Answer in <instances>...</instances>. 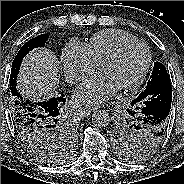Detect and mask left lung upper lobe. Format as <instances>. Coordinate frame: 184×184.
<instances>
[{
	"mask_svg": "<svg viewBox=\"0 0 184 184\" xmlns=\"http://www.w3.org/2000/svg\"><path fill=\"white\" fill-rule=\"evenodd\" d=\"M160 80H170L169 74L162 63L155 62L147 86ZM131 110L132 105L123 116L114 122L112 134L119 155L125 160L136 161L153 154L162 143L166 132L157 137L152 128L133 117Z\"/></svg>",
	"mask_w": 184,
	"mask_h": 184,
	"instance_id": "5c2ea615",
	"label": "left lung upper lobe"
}]
</instances>
